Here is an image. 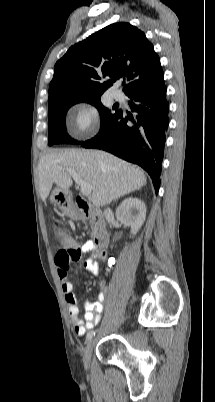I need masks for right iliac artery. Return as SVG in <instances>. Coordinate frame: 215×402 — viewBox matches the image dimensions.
<instances>
[{
  "instance_id": "1",
  "label": "right iliac artery",
  "mask_w": 215,
  "mask_h": 402,
  "mask_svg": "<svg viewBox=\"0 0 215 402\" xmlns=\"http://www.w3.org/2000/svg\"><path fill=\"white\" fill-rule=\"evenodd\" d=\"M95 333H96V331H90L88 334H87V340H90L94 335H95Z\"/></svg>"
}]
</instances>
